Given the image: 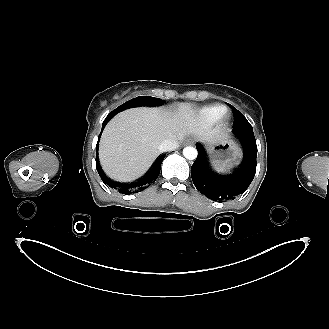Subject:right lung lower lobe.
Segmentation results:
<instances>
[{"mask_svg":"<svg viewBox=\"0 0 329 329\" xmlns=\"http://www.w3.org/2000/svg\"><path fill=\"white\" fill-rule=\"evenodd\" d=\"M112 117H113L112 115H108L106 117V119L104 120V122L102 124L101 133H102L104 127L106 126V124L108 123V121ZM101 133H100L99 138H98V143H99ZM98 143H97V146H96V168H97V171H98L102 181L105 184L109 185V187L118 190L119 193L130 194L134 191H136V192L137 191H142L143 189H145L146 187L151 185L158 178V175H159L160 169H161V163L164 159L165 154L160 155L157 158V160L155 161V163L152 165L150 170L143 177L138 179L137 181H134L132 183H119V182L111 180L110 178H108L104 174V172L102 171V169L100 167L99 159H98Z\"/></svg>","mask_w":329,"mask_h":329,"instance_id":"obj_1","label":"right lung lower lobe"}]
</instances>
